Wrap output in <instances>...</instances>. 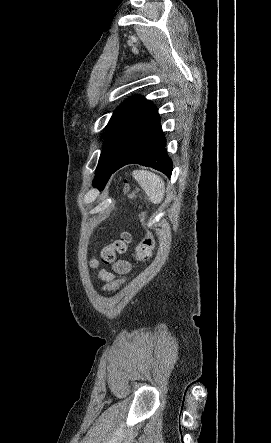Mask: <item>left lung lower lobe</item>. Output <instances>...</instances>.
Wrapping results in <instances>:
<instances>
[{
    "mask_svg": "<svg viewBox=\"0 0 271 443\" xmlns=\"http://www.w3.org/2000/svg\"><path fill=\"white\" fill-rule=\"evenodd\" d=\"M166 140L160 126L157 109L145 101L136 117L125 130L110 176L127 164L152 167L171 176L173 163L168 157Z\"/></svg>",
    "mask_w": 271,
    "mask_h": 443,
    "instance_id": "left-lung-lower-lobe-1",
    "label": "left lung lower lobe"
}]
</instances>
